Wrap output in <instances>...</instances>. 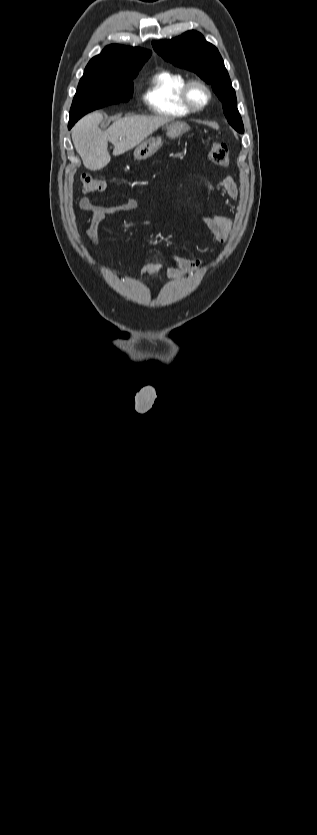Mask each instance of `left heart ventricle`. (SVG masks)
<instances>
[{
	"label": "left heart ventricle",
	"mask_w": 317,
	"mask_h": 835,
	"mask_svg": "<svg viewBox=\"0 0 317 835\" xmlns=\"http://www.w3.org/2000/svg\"><path fill=\"white\" fill-rule=\"evenodd\" d=\"M191 96L192 100L198 105L202 104L206 99V93L200 87H194L192 89Z\"/></svg>",
	"instance_id": "obj_1"
}]
</instances>
